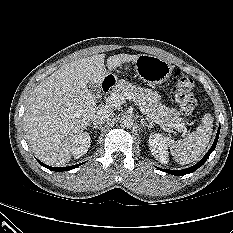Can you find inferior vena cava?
Wrapping results in <instances>:
<instances>
[{"instance_id":"inferior-vena-cava-1","label":"inferior vena cava","mask_w":233,"mask_h":233,"mask_svg":"<svg viewBox=\"0 0 233 233\" xmlns=\"http://www.w3.org/2000/svg\"><path fill=\"white\" fill-rule=\"evenodd\" d=\"M113 117V110L107 105H100L92 117L94 125H101Z\"/></svg>"}]
</instances>
